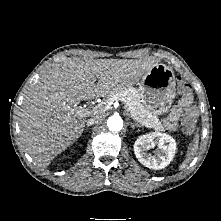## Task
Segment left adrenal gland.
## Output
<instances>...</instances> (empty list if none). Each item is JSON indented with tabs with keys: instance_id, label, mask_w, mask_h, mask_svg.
I'll list each match as a JSON object with an SVG mask.
<instances>
[{
	"instance_id": "left-adrenal-gland-1",
	"label": "left adrenal gland",
	"mask_w": 221,
	"mask_h": 221,
	"mask_svg": "<svg viewBox=\"0 0 221 221\" xmlns=\"http://www.w3.org/2000/svg\"><path fill=\"white\" fill-rule=\"evenodd\" d=\"M131 128L134 129L135 127H141V125L137 124V123H130Z\"/></svg>"
}]
</instances>
